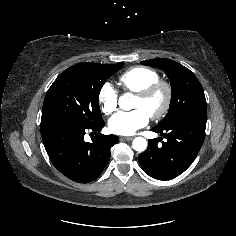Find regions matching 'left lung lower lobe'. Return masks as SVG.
Returning a JSON list of instances; mask_svg holds the SVG:
<instances>
[{
  "label": "left lung lower lobe",
  "mask_w": 236,
  "mask_h": 236,
  "mask_svg": "<svg viewBox=\"0 0 236 236\" xmlns=\"http://www.w3.org/2000/svg\"><path fill=\"white\" fill-rule=\"evenodd\" d=\"M206 120V113H195L163 128H152L167 141L162 142V145H158L161 137L148 141L147 150L139 156L143 170L158 180L173 179L184 172L203 144Z\"/></svg>",
  "instance_id": "left-lung-lower-lobe-1"
}]
</instances>
